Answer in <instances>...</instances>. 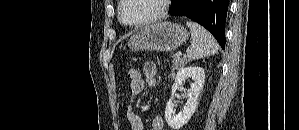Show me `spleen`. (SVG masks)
Listing matches in <instances>:
<instances>
[{
  "mask_svg": "<svg viewBox=\"0 0 299 130\" xmlns=\"http://www.w3.org/2000/svg\"><path fill=\"white\" fill-rule=\"evenodd\" d=\"M186 25L190 29L192 38L191 45L187 48L189 60L201 59L217 53L218 44L205 28L192 21H187Z\"/></svg>",
  "mask_w": 299,
  "mask_h": 130,
  "instance_id": "obj_1",
  "label": "spleen"
}]
</instances>
